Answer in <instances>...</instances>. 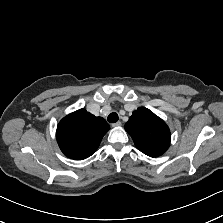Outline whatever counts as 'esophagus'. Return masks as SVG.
Returning a JSON list of instances; mask_svg holds the SVG:
<instances>
[{
    "instance_id": "esophagus-1",
    "label": "esophagus",
    "mask_w": 223,
    "mask_h": 223,
    "mask_svg": "<svg viewBox=\"0 0 223 223\" xmlns=\"http://www.w3.org/2000/svg\"><path fill=\"white\" fill-rule=\"evenodd\" d=\"M121 124L122 123L120 121H118V122L113 123L112 127H119V126H121Z\"/></svg>"
}]
</instances>
